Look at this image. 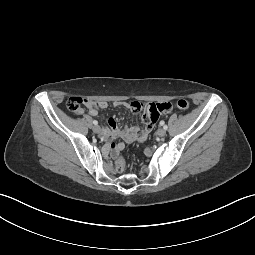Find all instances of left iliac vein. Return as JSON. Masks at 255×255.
<instances>
[{"label": "left iliac vein", "instance_id": "4c4485c4", "mask_svg": "<svg viewBox=\"0 0 255 255\" xmlns=\"http://www.w3.org/2000/svg\"><path fill=\"white\" fill-rule=\"evenodd\" d=\"M157 135H158L159 137H164V136L166 135V130L163 129V128L158 129Z\"/></svg>", "mask_w": 255, "mask_h": 255}]
</instances>
